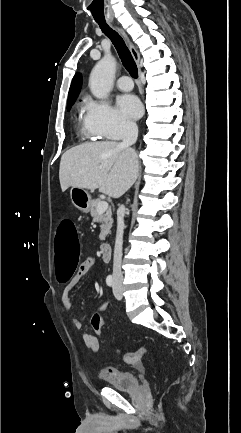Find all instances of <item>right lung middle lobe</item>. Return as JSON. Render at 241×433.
Masks as SVG:
<instances>
[{"label":"right lung middle lobe","mask_w":241,"mask_h":433,"mask_svg":"<svg viewBox=\"0 0 241 433\" xmlns=\"http://www.w3.org/2000/svg\"><path fill=\"white\" fill-rule=\"evenodd\" d=\"M72 105H67V109L69 110L71 108Z\"/></svg>","instance_id":"right-lung-middle-lobe-1"}]
</instances>
